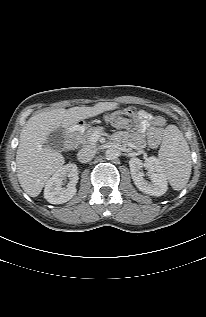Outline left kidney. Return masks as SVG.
<instances>
[{"mask_svg":"<svg viewBox=\"0 0 206 317\" xmlns=\"http://www.w3.org/2000/svg\"><path fill=\"white\" fill-rule=\"evenodd\" d=\"M129 167L136 187L143 193L151 196H161L167 191V178L156 157L147 158L145 163L139 158H131ZM143 167L149 170L150 182L144 179Z\"/></svg>","mask_w":206,"mask_h":317,"instance_id":"5707ae66","label":"left kidney"}]
</instances>
